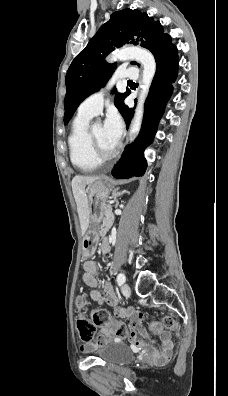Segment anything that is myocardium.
<instances>
[{"instance_id": "f54148a6", "label": "myocardium", "mask_w": 228, "mask_h": 396, "mask_svg": "<svg viewBox=\"0 0 228 396\" xmlns=\"http://www.w3.org/2000/svg\"><path fill=\"white\" fill-rule=\"evenodd\" d=\"M88 138H89V144H90L91 152H92L94 158L97 161H99L100 163L101 162H105V161H109V160H111V159H113V158H115L117 156V154L119 152V147L116 146V148L112 152H108V153L104 152L100 148V146H99V144H98V142H97V140H96V138L94 136V133H93L92 129H90L88 131Z\"/></svg>"}]
</instances>
